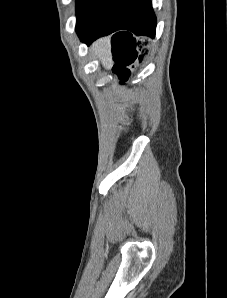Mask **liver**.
Masks as SVG:
<instances>
[{
	"label": "liver",
	"mask_w": 227,
	"mask_h": 298,
	"mask_svg": "<svg viewBox=\"0 0 227 298\" xmlns=\"http://www.w3.org/2000/svg\"><path fill=\"white\" fill-rule=\"evenodd\" d=\"M92 50L106 69H111L113 65L111 54L110 38L104 37L98 39L93 45Z\"/></svg>",
	"instance_id": "1"
}]
</instances>
